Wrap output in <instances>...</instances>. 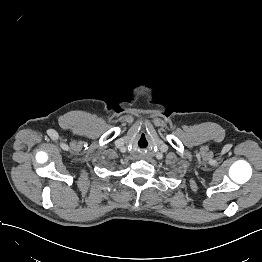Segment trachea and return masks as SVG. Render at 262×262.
Here are the masks:
<instances>
[{
  "instance_id": "3493384b",
  "label": "trachea",
  "mask_w": 262,
  "mask_h": 262,
  "mask_svg": "<svg viewBox=\"0 0 262 262\" xmlns=\"http://www.w3.org/2000/svg\"><path fill=\"white\" fill-rule=\"evenodd\" d=\"M148 145V141L146 139V137L144 135L140 136L139 140H138V146L140 148H145Z\"/></svg>"
}]
</instances>
